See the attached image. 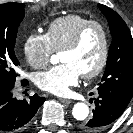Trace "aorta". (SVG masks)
I'll return each instance as SVG.
<instances>
[{"instance_id":"obj_1","label":"aorta","mask_w":133,"mask_h":133,"mask_svg":"<svg viewBox=\"0 0 133 133\" xmlns=\"http://www.w3.org/2000/svg\"><path fill=\"white\" fill-rule=\"evenodd\" d=\"M73 117L78 121H84L89 115V108L85 103H76L72 110Z\"/></svg>"}]
</instances>
